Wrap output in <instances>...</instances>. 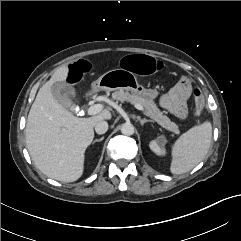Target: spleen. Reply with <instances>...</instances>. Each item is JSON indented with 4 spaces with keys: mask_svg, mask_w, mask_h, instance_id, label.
I'll return each mask as SVG.
<instances>
[{
    "mask_svg": "<svg viewBox=\"0 0 241 241\" xmlns=\"http://www.w3.org/2000/svg\"><path fill=\"white\" fill-rule=\"evenodd\" d=\"M212 139V125L205 121L183 133L172 146L170 171L180 175L193 169L206 156Z\"/></svg>",
    "mask_w": 241,
    "mask_h": 241,
    "instance_id": "obj_1",
    "label": "spleen"
}]
</instances>
